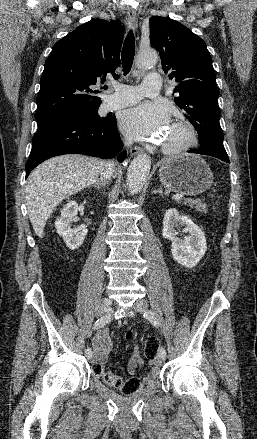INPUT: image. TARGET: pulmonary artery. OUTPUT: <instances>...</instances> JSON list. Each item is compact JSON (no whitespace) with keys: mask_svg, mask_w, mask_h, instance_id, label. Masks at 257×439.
Listing matches in <instances>:
<instances>
[{"mask_svg":"<svg viewBox=\"0 0 257 439\" xmlns=\"http://www.w3.org/2000/svg\"><path fill=\"white\" fill-rule=\"evenodd\" d=\"M162 76L158 73L146 75L140 86L118 85L116 92L105 100L108 110H114L131 105L143 96H154L162 86Z\"/></svg>","mask_w":257,"mask_h":439,"instance_id":"pulmonary-artery-1","label":"pulmonary artery"}]
</instances>
